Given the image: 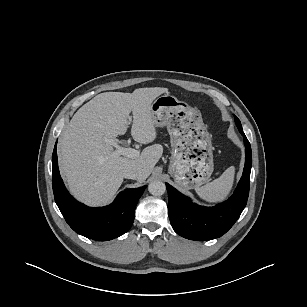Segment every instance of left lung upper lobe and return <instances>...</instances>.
Masks as SVG:
<instances>
[{
  "label": "left lung upper lobe",
  "mask_w": 307,
  "mask_h": 307,
  "mask_svg": "<svg viewBox=\"0 0 307 307\" xmlns=\"http://www.w3.org/2000/svg\"><path fill=\"white\" fill-rule=\"evenodd\" d=\"M235 122H236V125H237V127H238L240 133L243 132L242 126H241V123H240V120H239L236 116H235ZM243 133H244V132H243Z\"/></svg>",
  "instance_id": "left-lung-upper-lobe-1"
}]
</instances>
